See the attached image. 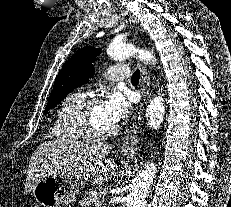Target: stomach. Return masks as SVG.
I'll use <instances>...</instances> for the list:
<instances>
[{
    "instance_id": "0dacf381",
    "label": "stomach",
    "mask_w": 231,
    "mask_h": 207,
    "mask_svg": "<svg viewBox=\"0 0 231 207\" xmlns=\"http://www.w3.org/2000/svg\"><path fill=\"white\" fill-rule=\"evenodd\" d=\"M79 194L77 181L66 175L54 174L40 179L32 190L35 200L43 207L67 206Z\"/></svg>"
}]
</instances>
